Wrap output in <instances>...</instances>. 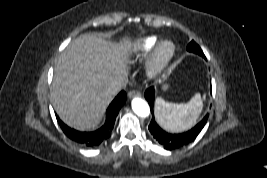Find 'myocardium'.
<instances>
[{
	"instance_id": "obj_1",
	"label": "myocardium",
	"mask_w": 267,
	"mask_h": 178,
	"mask_svg": "<svg viewBox=\"0 0 267 178\" xmlns=\"http://www.w3.org/2000/svg\"><path fill=\"white\" fill-rule=\"evenodd\" d=\"M177 54L176 45L170 40H163L157 44L147 63L146 73L149 78L161 77Z\"/></svg>"
}]
</instances>
